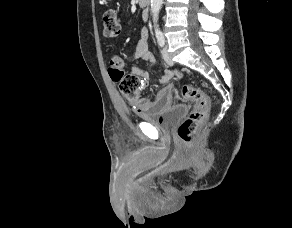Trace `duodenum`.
<instances>
[{"label": "duodenum", "instance_id": "duodenum-1", "mask_svg": "<svg viewBox=\"0 0 292 228\" xmlns=\"http://www.w3.org/2000/svg\"><path fill=\"white\" fill-rule=\"evenodd\" d=\"M141 7H148L150 5V0H138Z\"/></svg>", "mask_w": 292, "mask_h": 228}]
</instances>
